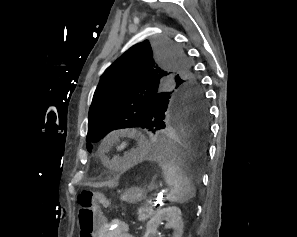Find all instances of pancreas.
Wrapping results in <instances>:
<instances>
[{"mask_svg": "<svg viewBox=\"0 0 297 237\" xmlns=\"http://www.w3.org/2000/svg\"><path fill=\"white\" fill-rule=\"evenodd\" d=\"M154 211L149 207H141L138 209V220L139 221H146L154 215Z\"/></svg>", "mask_w": 297, "mask_h": 237, "instance_id": "pancreas-1", "label": "pancreas"}]
</instances>
